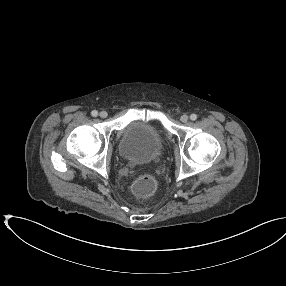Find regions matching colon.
Instances as JSON below:
<instances>
[{
	"mask_svg": "<svg viewBox=\"0 0 286 286\" xmlns=\"http://www.w3.org/2000/svg\"><path fill=\"white\" fill-rule=\"evenodd\" d=\"M157 184L153 176L146 174L138 178L133 184V192L140 197H149L156 190Z\"/></svg>",
	"mask_w": 286,
	"mask_h": 286,
	"instance_id": "colon-1",
	"label": "colon"
}]
</instances>
